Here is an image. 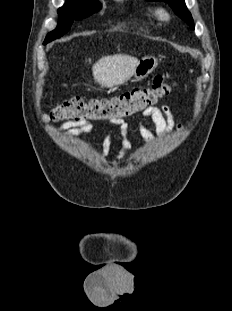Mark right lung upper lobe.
<instances>
[{
    "label": "right lung upper lobe",
    "instance_id": "1",
    "mask_svg": "<svg viewBox=\"0 0 232 311\" xmlns=\"http://www.w3.org/2000/svg\"><path fill=\"white\" fill-rule=\"evenodd\" d=\"M67 1H74V0H67ZM89 1H97V0H89ZM98 2V1H97Z\"/></svg>",
    "mask_w": 232,
    "mask_h": 311
}]
</instances>
